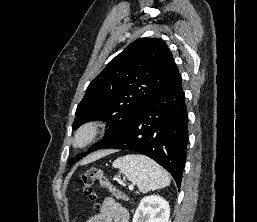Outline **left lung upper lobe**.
Instances as JSON below:
<instances>
[{
    "label": "left lung upper lobe",
    "instance_id": "obj_1",
    "mask_svg": "<svg viewBox=\"0 0 257 222\" xmlns=\"http://www.w3.org/2000/svg\"><path fill=\"white\" fill-rule=\"evenodd\" d=\"M178 73L166 43L140 38L113 58L89 84L76 110L73 128L104 120L108 130L90 151L114 139ZM82 155L78 156V159Z\"/></svg>",
    "mask_w": 257,
    "mask_h": 222
}]
</instances>
